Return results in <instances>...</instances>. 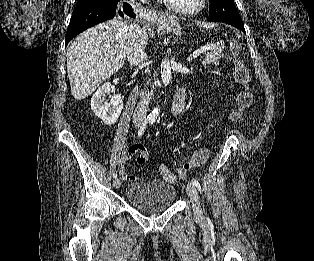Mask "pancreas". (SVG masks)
<instances>
[{"instance_id":"pancreas-1","label":"pancreas","mask_w":314,"mask_h":261,"mask_svg":"<svg viewBox=\"0 0 314 261\" xmlns=\"http://www.w3.org/2000/svg\"><path fill=\"white\" fill-rule=\"evenodd\" d=\"M225 47V43L218 42L214 45V48L207 52L201 59L200 62L202 65H218L219 59L222 58V51Z\"/></svg>"}]
</instances>
